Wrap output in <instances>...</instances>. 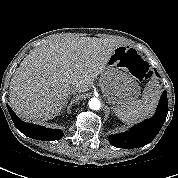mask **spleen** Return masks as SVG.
Instances as JSON below:
<instances>
[{
  "instance_id": "spleen-1",
  "label": "spleen",
  "mask_w": 178,
  "mask_h": 178,
  "mask_svg": "<svg viewBox=\"0 0 178 178\" xmlns=\"http://www.w3.org/2000/svg\"><path fill=\"white\" fill-rule=\"evenodd\" d=\"M160 95L161 90L158 82L150 81L143 91L141 100L135 99L128 104L116 106L113 110L124 123H136L153 113Z\"/></svg>"
}]
</instances>
